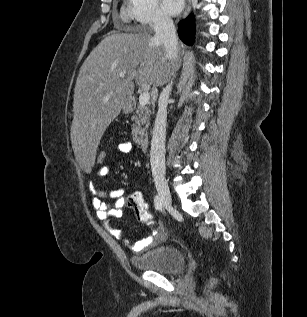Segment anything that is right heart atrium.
<instances>
[{"mask_svg": "<svg viewBox=\"0 0 307 317\" xmlns=\"http://www.w3.org/2000/svg\"><path fill=\"white\" fill-rule=\"evenodd\" d=\"M127 17L152 28L166 26L170 22L157 0H129Z\"/></svg>", "mask_w": 307, "mask_h": 317, "instance_id": "d8ad5b80", "label": "right heart atrium"}]
</instances>
